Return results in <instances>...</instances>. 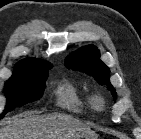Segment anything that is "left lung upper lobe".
Listing matches in <instances>:
<instances>
[{"label":"left lung upper lobe","mask_w":141,"mask_h":139,"mask_svg":"<svg viewBox=\"0 0 141 139\" xmlns=\"http://www.w3.org/2000/svg\"><path fill=\"white\" fill-rule=\"evenodd\" d=\"M99 57V50L95 46L88 45L69 55L65 64L67 68L85 72L93 76L99 84L107 85L108 90H110L113 97L116 98L117 94L115 89L109 81L110 70Z\"/></svg>","instance_id":"obj_1"}]
</instances>
